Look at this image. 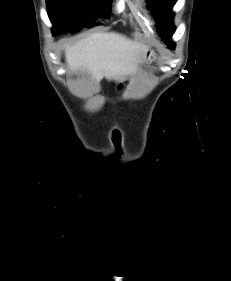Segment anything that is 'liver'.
I'll list each match as a JSON object with an SVG mask.
<instances>
[{"mask_svg": "<svg viewBox=\"0 0 231 281\" xmlns=\"http://www.w3.org/2000/svg\"><path fill=\"white\" fill-rule=\"evenodd\" d=\"M147 47L117 33H95L65 49L72 71L87 70L96 82L122 80L138 70Z\"/></svg>", "mask_w": 231, "mask_h": 281, "instance_id": "obj_1", "label": "liver"}]
</instances>
